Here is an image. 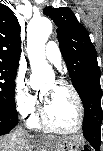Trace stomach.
I'll list each match as a JSON object with an SVG mask.
<instances>
[{
    "label": "stomach",
    "mask_w": 103,
    "mask_h": 151,
    "mask_svg": "<svg viewBox=\"0 0 103 151\" xmlns=\"http://www.w3.org/2000/svg\"><path fill=\"white\" fill-rule=\"evenodd\" d=\"M86 149L84 140L80 137H66L61 141L53 143L49 151H82Z\"/></svg>",
    "instance_id": "stomach-1"
}]
</instances>
